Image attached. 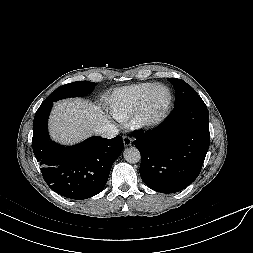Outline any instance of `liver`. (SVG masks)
Returning <instances> with one entry per match:
<instances>
[{
	"label": "liver",
	"instance_id": "obj_1",
	"mask_svg": "<svg viewBox=\"0 0 253 253\" xmlns=\"http://www.w3.org/2000/svg\"><path fill=\"white\" fill-rule=\"evenodd\" d=\"M107 122L99 106L81 99H67L55 103L49 130L54 140L72 144L89 137L96 127Z\"/></svg>",
	"mask_w": 253,
	"mask_h": 253
}]
</instances>
